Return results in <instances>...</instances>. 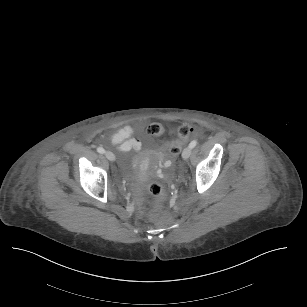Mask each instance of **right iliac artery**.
I'll list each match as a JSON object with an SVG mask.
<instances>
[{
    "label": "right iliac artery",
    "mask_w": 307,
    "mask_h": 307,
    "mask_svg": "<svg viewBox=\"0 0 307 307\" xmlns=\"http://www.w3.org/2000/svg\"><path fill=\"white\" fill-rule=\"evenodd\" d=\"M97 152H99L100 154H103V153H105V150L102 147H98Z\"/></svg>",
    "instance_id": "1"
}]
</instances>
